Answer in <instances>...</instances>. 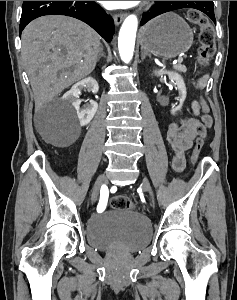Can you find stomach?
<instances>
[{
    "label": "stomach",
    "mask_w": 237,
    "mask_h": 300,
    "mask_svg": "<svg viewBox=\"0 0 237 300\" xmlns=\"http://www.w3.org/2000/svg\"><path fill=\"white\" fill-rule=\"evenodd\" d=\"M142 49L166 59L184 55L193 45V31L176 13H165L149 21L140 31Z\"/></svg>",
    "instance_id": "obj_1"
}]
</instances>
